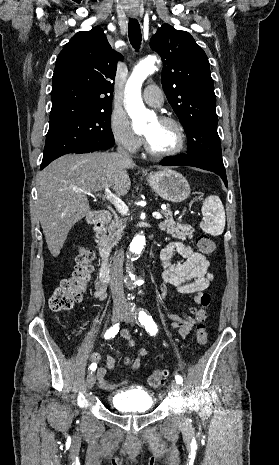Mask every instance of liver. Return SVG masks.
<instances>
[{"label":"liver","mask_w":279,"mask_h":465,"mask_svg":"<svg viewBox=\"0 0 279 465\" xmlns=\"http://www.w3.org/2000/svg\"><path fill=\"white\" fill-rule=\"evenodd\" d=\"M135 163L108 152L67 154L43 169L37 179V212L48 249L60 254L70 229L92 215L87 195L106 185L118 195L131 187L127 169Z\"/></svg>","instance_id":"obj_1"}]
</instances>
